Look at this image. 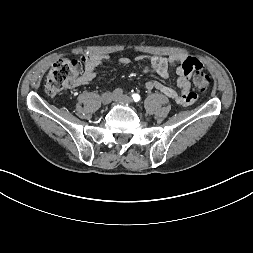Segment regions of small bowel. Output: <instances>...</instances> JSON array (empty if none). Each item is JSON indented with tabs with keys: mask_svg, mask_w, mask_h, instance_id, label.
<instances>
[{
	"mask_svg": "<svg viewBox=\"0 0 253 253\" xmlns=\"http://www.w3.org/2000/svg\"><path fill=\"white\" fill-rule=\"evenodd\" d=\"M188 59L189 58H186L183 55L175 54L170 57L139 55L135 60H147L148 64L143 66V72H156L163 78H167L170 69L174 67L178 76L177 87L180 89V93L157 80L147 81L145 83V88L148 91L158 90L165 96L174 99L177 103L189 107L196 103L197 95L195 92L191 91L190 76L193 70L187 65ZM107 60H109V56L106 54L88 55L85 62L84 73L74 84L76 86H83L90 83L97 76L96 68ZM119 62L127 65L130 63V59L127 57H121L119 58Z\"/></svg>",
	"mask_w": 253,
	"mask_h": 253,
	"instance_id": "c3829d8e",
	"label": "small bowel"
}]
</instances>
